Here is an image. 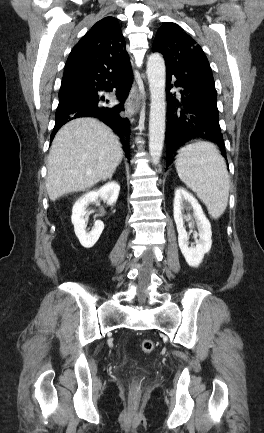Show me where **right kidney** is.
<instances>
[{
    "label": "right kidney",
    "instance_id": "ca27d5eb",
    "mask_svg": "<svg viewBox=\"0 0 264 433\" xmlns=\"http://www.w3.org/2000/svg\"><path fill=\"white\" fill-rule=\"evenodd\" d=\"M119 191V184L112 181L106 183L99 190L86 193L75 202L72 208L71 221L74 225L75 234L83 247H93L104 229V223L97 220L93 229L87 232L85 225L86 207L90 203L96 202L98 198L106 200L109 205L114 204L118 199Z\"/></svg>",
    "mask_w": 264,
    "mask_h": 433
}]
</instances>
